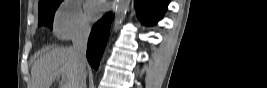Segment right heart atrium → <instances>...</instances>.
Segmentation results:
<instances>
[{
	"mask_svg": "<svg viewBox=\"0 0 267 88\" xmlns=\"http://www.w3.org/2000/svg\"><path fill=\"white\" fill-rule=\"evenodd\" d=\"M53 29L61 39H79L88 34L90 26L78 3L66 1L55 13Z\"/></svg>",
	"mask_w": 267,
	"mask_h": 88,
	"instance_id": "1",
	"label": "right heart atrium"
}]
</instances>
